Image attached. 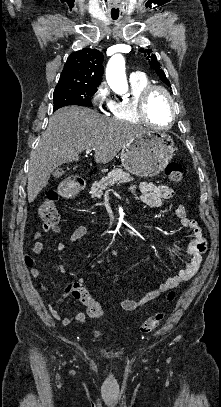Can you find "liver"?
Returning <instances> with one entry per match:
<instances>
[{"label": "liver", "instance_id": "1", "mask_svg": "<svg viewBox=\"0 0 221 407\" xmlns=\"http://www.w3.org/2000/svg\"><path fill=\"white\" fill-rule=\"evenodd\" d=\"M143 131L141 126L107 118L92 109L77 106L58 109L30 157L28 202L36 199L61 164L79 161V154L87 149H94L96 163L106 164Z\"/></svg>", "mask_w": 221, "mask_h": 407}]
</instances>
